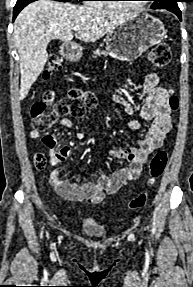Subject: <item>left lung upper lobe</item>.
<instances>
[{
	"label": "left lung upper lobe",
	"mask_w": 193,
	"mask_h": 287,
	"mask_svg": "<svg viewBox=\"0 0 193 287\" xmlns=\"http://www.w3.org/2000/svg\"><path fill=\"white\" fill-rule=\"evenodd\" d=\"M154 3L151 5L152 9H165L169 7H176L178 6L177 2L179 0H151Z\"/></svg>",
	"instance_id": "5c2ea615"
}]
</instances>
